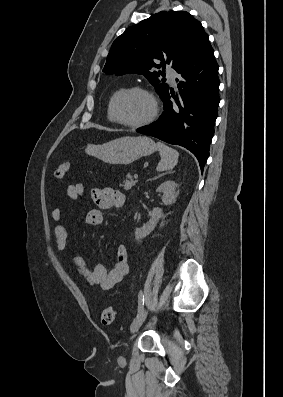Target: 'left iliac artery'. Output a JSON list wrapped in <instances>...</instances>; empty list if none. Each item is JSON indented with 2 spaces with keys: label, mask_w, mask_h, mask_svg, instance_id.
<instances>
[{
  "label": "left iliac artery",
  "mask_w": 283,
  "mask_h": 397,
  "mask_svg": "<svg viewBox=\"0 0 283 397\" xmlns=\"http://www.w3.org/2000/svg\"><path fill=\"white\" fill-rule=\"evenodd\" d=\"M143 308H144V294L142 291H140L138 296V313L143 311Z\"/></svg>",
  "instance_id": "44dca946"
}]
</instances>
